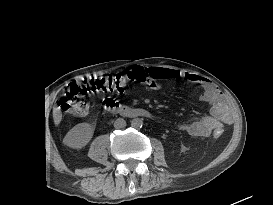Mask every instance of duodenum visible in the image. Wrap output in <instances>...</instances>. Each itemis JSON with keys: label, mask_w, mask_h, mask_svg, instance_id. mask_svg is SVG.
<instances>
[{"label": "duodenum", "mask_w": 273, "mask_h": 205, "mask_svg": "<svg viewBox=\"0 0 273 205\" xmlns=\"http://www.w3.org/2000/svg\"><path fill=\"white\" fill-rule=\"evenodd\" d=\"M105 106L108 110L118 112L124 116L136 117V116H147L148 115V113L143 110L124 106L114 100H106Z\"/></svg>", "instance_id": "obj_1"}]
</instances>
